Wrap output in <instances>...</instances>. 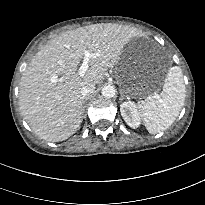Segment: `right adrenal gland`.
<instances>
[{
    "instance_id": "2a0ac1e0",
    "label": "right adrenal gland",
    "mask_w": 205,
    "mask_h": 205,
    "mask_svg": "<svg viewBox=\"0 0 205 205\" xmlns=\"http://www.w3.org/2000/svg\"><path fill=\"white\" fill-rule=\"evenodd\" d=\"M85 101H86V100L83 101V104H84V105H83V108H82V113H84V110H85Z\"/></svg>"
}]
</instances>
